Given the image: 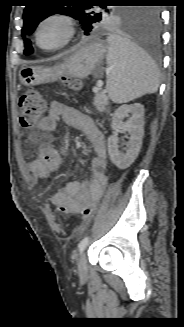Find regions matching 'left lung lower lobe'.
<instances>
[{
    "instance_id": "0a47b994",
    "label": "left lung lower lobe",
    "mask_w": 184,
    "mask_h": 327,
    "mask_svg": "<svg viewBox=\"0 0 184 327\" xmlns=\"http://www.w3.org/2000/svg\"><path fill=\"white\" fill-rule=\"evenodd\" d=\"M160 30V14L153 8L143 9V14L135 25V41L146 53L156 56L160 50Z\"/></svg>"
}]
</instances>
